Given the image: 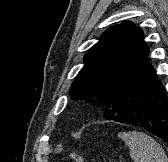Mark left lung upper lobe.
<instances>
[{
  "label": "left lung upper lobe",
  "instance_id": "1",
  "mask_svg": "<svg viewBox=\"0 0 168 162\" xmlns=\"http://www.w3.org/2000/svg\"><path fill=\"white\" fill-rule=\"evenodd\" d=\"M143 32L129 21L110 27L84 56V67L70 89L73 100L106 107L108 97L146 61Z\"/></svg>",
  "mask_w": 168,
  "mask_h": 162
}]
</instances>
